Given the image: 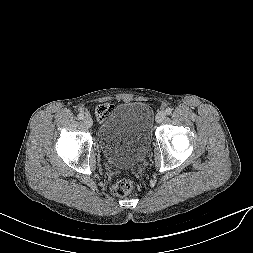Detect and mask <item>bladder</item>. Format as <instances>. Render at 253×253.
<instances>
[{
  "instance_id": "1",
  "label": "bladder",
  "mask_w": 253,
  "mask_h": 253,
  "mask_svg": "<svg viewBox=\"0 0 253 253\" xmlns=\"http://www.w3.org/2000/svg\"><path fill=\"white\" fill-rule=\"evenodd\" d=\"M154 112L146 102H122L98 129L99 148L106 161L131 167L147 153L153 133Z\"/></svg>"
}]
</instances>
